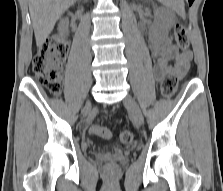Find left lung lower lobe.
Instances as JSON below:
<instances>
[{
	"label": "left lung lower lobe",
	"mask_w": 223,
	"mask_h": 191,
	"mask_svg": "<svg viewBox=\"0 0 223 191\" xmlns=\"http://www.w3.org/2000/svg\"><path fill=\"white\" fill-rule=\"evenodd\" d=\"M193 1H194V0H189L190 5L192 4Z\"/></svg>",
	"instance_id": "1"
}]
</instances>
